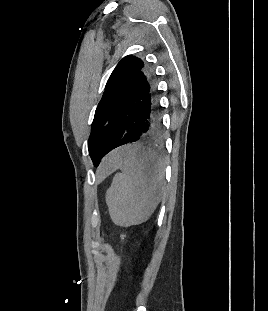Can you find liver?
I'll return each mask as SVG.
<instances>
[{
  "mask_svg": "<svg viewBox=\"0 0 268 311\" xmlns=\"http://www.w3.org/2000/svg\"><path fill=\"white\" fill-rule=\"evenodd\" d=\"M112 155H113V154H111V155L109 156L108 160L112 157Z\"/></svg>",
  "mask_w": 268,
  "mask_h": 311,
  "instance_id": "6515ba94",
  "label": "liver"
}]
</instances>
